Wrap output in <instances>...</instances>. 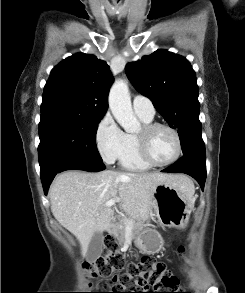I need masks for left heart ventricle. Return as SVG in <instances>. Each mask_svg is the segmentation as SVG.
Masks as SVG:
<instances>
[{"label":"left heart ventricle","mask_w":245,"mask_h":293,"mask_svg":"<svg viewBox=\"0 0 245 293\" xmlns=\"http://www.w3.org/2000/svg\"><path fill=\"white\" fill-rule=\"evenodd\" d=\"M141 130L138 132V134ZM148 151L151 158L158 163L170 160L176 151L173 134L165 128L154 130L148 138Z\"/></svg>","instance_id":"b2bd125f"}]
</instances>
